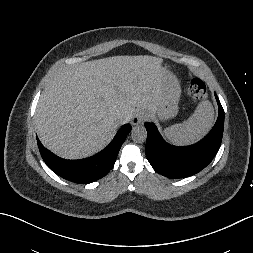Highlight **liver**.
I'll return each instance as SVG.
<instances>
[{"label": "liver", "mask_w": 253, "mask_h": 253, "mask_svg": "<svg viewBox=\"0 0 253 253\" xmlns=\"http://www.w3.org/2000/svg\"><path fill=\"white\" fill-rule=\"evenodd\" d=\"M172 76L159 58L114 56L63 68L46 85L35 113L42 144L65 159L102 150L138 109L155 115Z\"/></svg>", "instance_id": "liver-1"}]
</instances>
